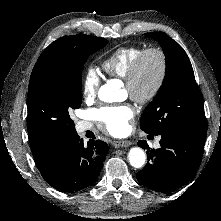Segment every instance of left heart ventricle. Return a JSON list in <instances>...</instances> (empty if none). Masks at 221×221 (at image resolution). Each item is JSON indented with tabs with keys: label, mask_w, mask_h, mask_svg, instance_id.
<instances>
[{
	"label": "left heart ventricle",
	"mask_w": 221,
	"mask_h": 221,
	"mask_svg": "<svg viewBox=\"0 0 221 221\" xmlns=\"http://www.w3.org/2000/svg\"><path fill=\"white\" fill-rule=\"evenodd\" d=\"M159 73V62L156 56L146 58L139 78V90L148 91L155 83Z\"/></svg>",
	"instance_id": "1"
}]
</instances>
